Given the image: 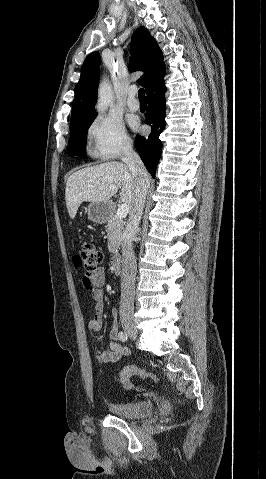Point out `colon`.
Listing matches in <instances>:
<instances>
[{"label":"colon","instance_id":"1","mask_svg":"<svg viewBox=\"0 0 266 479\" xmlns=\"http://www.w3.org/2000/svg\"><path fill=\"white\" fill-rule=\"evenodd\" d=\"M102 251L100 248L95 246L94 244L83 241L78 246L73 261L77 268L82 270L83 272V284L87 289L92 288V282L90 280L91 273L96 269L98 264L102 261ZM139 376L143 379L151 378L156 379V376L148 372L144 369L135 367V366H127L123 368L120 372V380L125 388L127 389H134V385L131 382V378L133 376Z\"/></svg>","mask_w":266,"mask_h":479}]
</instances>
